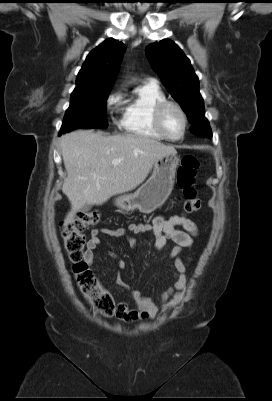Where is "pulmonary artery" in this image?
Listing matches in <instances>:
<instances>
[{"mask_svg": "<svg viewBox=\"0 0 272 401\" xmlns=\"http://www.w3.org/2000/svg\"><path fill=\"white\" fill-rule=\"evenodd\" d=\"M146 83H148V84H156V81L154 80V79H148L147 81H146Z\"/></svg>", "mask_w": 272, "mask_h": 401, "instance_id": "e3ab8cb5", "label": "pulmonary artery"}]
</instances>
